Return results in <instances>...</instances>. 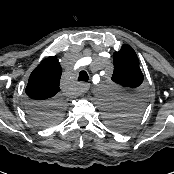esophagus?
<instances>
[{
    "label": "esophagus",
    "mask_w": 174,
    "mask_h": 174,
    "mask_svg": "<svg viewBox=\"0 0 174 174\" xmlns=\"http://www.w3.org/2000/svg\"><path fill=\"white\" fill-rule=\"evenodd\" d=\"M90 88V84L88 83H82L81 84V89H82V92H87Z\"/></svg>",
    "instance_id": "1"
}]
</instances>
